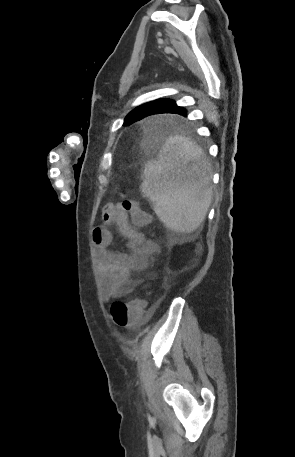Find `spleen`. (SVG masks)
Instances as JSON below:
<instances>
[{"label":"spleen","mask_w":295,"mask_h":457,"mask_svg":"<svg viewBox=\"0 0 295 457\" xmlns=\"http://www.w3.org/2000/svg\"><path fill=\"white\" fill-rule=\"evenodd\" d=\"M208 171L201 149L181 136L169 137L145 164L142 193L167 228L190 233L203 222L212 201Z\"/></svg>","instance_id":"1"}]
</instances>
